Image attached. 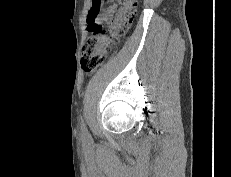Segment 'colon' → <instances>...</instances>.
Masks as SVG:
<instances>
[{
	"mask_svg": "<svg viewBox=\"0 0 231 177\" xmlns=\"http://www.w3.org/2000/svg\"><path fill=\"white\" fill-rule=\"evenodd\" d=\"M121 8L106 25L96 22L99 13L100 0L94 6L89 19L90 36L82 48L81 64L84 72L89 73L97 69L105 60L108 50L115 43L117 35L128 28L133 20L137 0H117Z\"/></svg>",
	"mask_w": 231,
	"mask_h": 177,
	"instance_id": "colon-1",
	"label": "colon"
}]
</instances>
